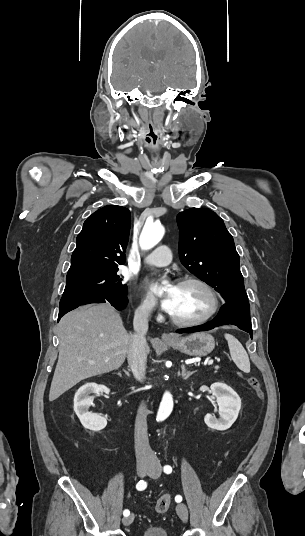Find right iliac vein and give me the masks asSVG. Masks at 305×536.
<instances>
[{"mask_svg":"<svg viewBox=\"0 0 305 536\" xmlns=\"http://www.w3.org/2000/svg\"><path fill=\"white\" fill-rule=\"evenodd\" d=\"M149 470H150L149 465L140 464L137 466V473L140 477H143L146 474V472H148ZM133 520H134V514H130L128 517L123 518V524L128 526L133 522Z\"/></svg>","mask_w":305,"mask_h":536,"instance_id":"63e3f726","label":"right iliac vein"}]
</instances>
